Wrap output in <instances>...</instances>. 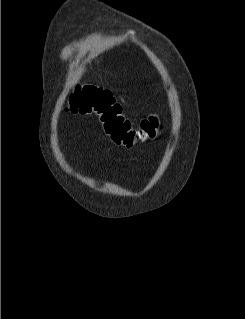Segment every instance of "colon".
I'll use <instances>...</instances> for the list:
<instances>
[{
	"mask_svg": "<svg viewBox=\"0 0 245 319\" xmlns=\"http://www.w3.org/2000/svg\"><path fill=\"white\" fill-rule=\"evenodd\" d=\"M69 110L79 115H94L102 124L105 135L116 145L132 147L152 139L160 126L158 116L142 119L135 127L122 114V106L113 95L95 85H80L69 98Z\"/></svg>",
	"mask_w": 245,
	"mask_h": 319,
	"instance_id": "1",
	"label": "colon"
}]
</instances>
